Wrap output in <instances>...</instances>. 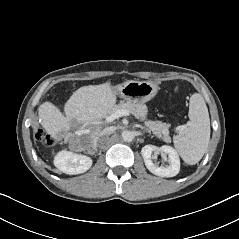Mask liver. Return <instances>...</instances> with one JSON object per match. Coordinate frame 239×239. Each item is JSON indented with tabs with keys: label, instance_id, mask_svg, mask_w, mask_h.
<instances>
[{
	"label": "liver",
	"instance_id": "6515ba94",
	"mask_svg": "<svg viewBox=\"0 0 239 239\" xmlns=\"http://www.w3.org/2000/svg\"><path fill=\"white\" fill-rule=\"evenodd\" d=\"M116 95L110 82L83 86L66 102L65 116L53 103L49 101L42 103L38 108L41 125L52 137L61 138L68 134L71 128L94 124L96 128L89 136L95 146V139L101 132L100 122L115 107Z\"/></svg>",
	"mask_w": 239,
	"mask_h": 239
}]
</instances>
